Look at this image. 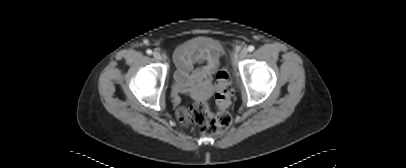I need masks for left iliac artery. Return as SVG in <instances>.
I'll return each instance as SVG.
<instances>
[{"instance_id": "1", "label": "left iliac artery", "mask_w": 406, "mask_h": 168, "mask_svg": "<svg viewBox=\"0 0 406 168\" xmlns=\"http://www.w3.org/2000/svg\"><path fill=\"white\" fill-rule=\"evenodd\" d=\"M254 49H255V47H254L253 45H250V46L248 47V51H249V52L254 51Z\"/></svg>"}]
</instances>
